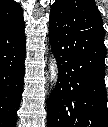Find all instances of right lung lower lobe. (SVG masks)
Here are the masks:
<instances>
[{
  "mask_svg": "<svg viewBox=\"0 0 108 127\" xmlns=\"http://www.w3.org/2000/svg\"><path fill=\"white\" fill-rule=\"evenodd\" d=\"M24 19L0 25V126L15 127L25 61Z\"/></svg>",
  "mask_w": 108,
  "mask_h": 127,
  "instance_id": "98d812e1",
  "label": "right lung lower lobe"
}]
</instances>
